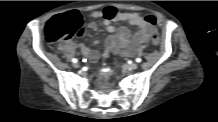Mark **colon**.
I'll list each match as a JSON object with an SVG mask.
<instances>
[{
    "mask_svg": "<svg viewBox=\"0 0 218 122\" xmlns=\"http://www.w3.org/2000/svg\"><path fill=\"white\" fill-rule=\"evenodd\" d=\"M144 18L150 25L156 23L153 15H147ZM82 32L83 17L78 11H69L53 17L45 28L46 39L53 44L81 35ZM152 42L155 46L159 44V37L156 32L152 34Z\"/></svg>",
    "mask_w": 218,
    "mask_h": 122,
    "instance_id": "obj_1",
    "label": "colon"
}]
</instances>
